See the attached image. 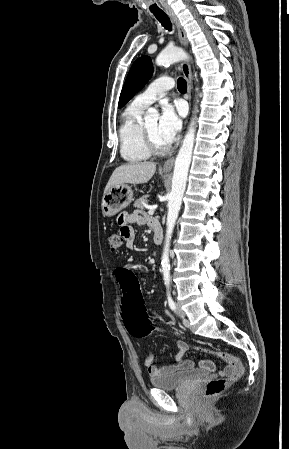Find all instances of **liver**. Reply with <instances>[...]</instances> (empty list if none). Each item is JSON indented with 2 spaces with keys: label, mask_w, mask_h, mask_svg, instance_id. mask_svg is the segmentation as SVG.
I'll list each match as a JSON object with an SVG mask.
<instances>
[{
  "label": "liver",
  "mask_w": 289,
  "mask_h": 449,
  "mask_svg": "<svg viewBox=\"0 0 289 449\" xmlns=\"http://www.w3.org/2000/svg\"><path fill=\"white\" fill-rule=\"evenodd\" d=\"M156 171V164L153 162H133L117 167L112 173L104 194L114 186L122 183L143 184L148 182Z\"/></svg>",
  "instance_id": "1"
}]
</instances>
